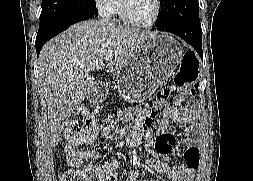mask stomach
I'll return each instance as SVG.
<instances>
[{"label": "stomach", "instance_id": "1", "mask_svg": "<svg viewBox=\"0 0 253 181\" xmlns=\"http://www.w3.org/2000/svg\"><path fill=\"white\" fill-rule=\"evenodd\" d=\"M183 60L180 44L166 34L141 41L116 73L115 87L131 103L151 96L173 75Z\"/></svg>", "mask_w": 253, "mask_h": 181}]
</instances>
